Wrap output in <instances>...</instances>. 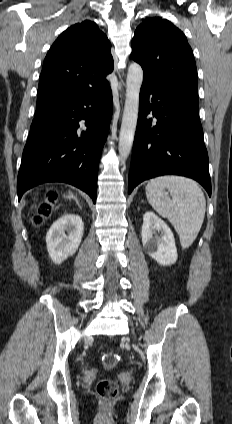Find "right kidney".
<instances>
[{"mask_svg": "<svg viewBox=\"0 0 232 424\" xmlns=\"http://www.w3.org/2000/svg\"><path fill=\"white\" fill-rule=\"evenodd\" d=\"M84 232L79 215L67 214L50 227L46 235L47 250L51 260L60 264L78 249Z\"/></svg>", "mask_w": 232, "mask_h": 424, "instance_id": "obj_1", "label": "right kidney"}]
</instances>
